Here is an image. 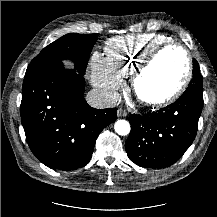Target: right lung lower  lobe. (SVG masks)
<instances>
[{
    "mask_svg": "<svg viewBox=\"0 0 217 217\" xmlns=\"http://www.w3.org/2000/svg\"><path fill=\"white\" fill-rule=\"evenodd\" d=\"M85 80L55 60L25 75L21 122L33 154L47 167L70 171L91 159L96 138L116 120V108L94 109L83 97Z\"/></svg>",
    "mask_w": 217,
    "mask_h": 217,
    "instance_id": "obj_1",
    "label": "right lung lower lobe"
}]
</instances>
